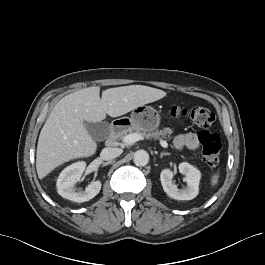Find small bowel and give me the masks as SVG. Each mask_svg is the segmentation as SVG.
<instances>
[{"mask_svg":"<svg viewBox=\"0 0 265 265\" xmlns=\"http://www.w3.org/2000/svg\"><path fill=\"white\" fill-rule=\"evenodd\" d=\"M174 145L178 149L188 148V149H197L199 146V139L195 133H185L176 136L174 140Z\"/></svg>","mask_w":265,"mask_h":265,"instance_id":"small-bowel-1","label":"small bowel"}]
</instances>
